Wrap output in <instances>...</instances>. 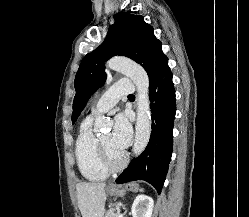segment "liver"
<instances>
[{"instance_id":"1","label":"liver","mask_w":249,"mask_h":217,"mask_svg":"<svg viewBox=\"0 0 249 217\" xmlns=\"http://www.w3.org/2000/svg\"><path fill=\"white\" fill-rule=\"evenodd\" d=\"M105 183L85 182L76 185L78 206L82 217H104Z\"/></svg>"}]
</instances>
